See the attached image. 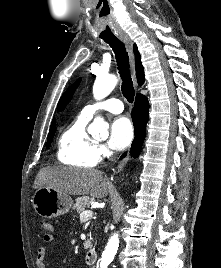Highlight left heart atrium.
<instances>
[{"label": "left heart atrium", "instance_id": "39dd6f15", "mask_svg": "<svg viewBox=\"0 0 221 268\" xmlns=\"http://www.w3.org/2000/svg\"><path fill=\"white\" fill-rule=\"evenodd\" d=\"M133 139V127L126 117H118L113 120L110 127L108 145L115 150L126 148Z\"/></svg>", "mask_w": 221, "mask_h": 268}]
</instances>
